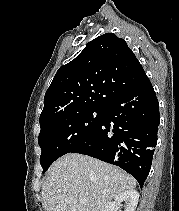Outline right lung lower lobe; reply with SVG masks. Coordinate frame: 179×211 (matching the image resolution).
Listing matches in <instances>:
<instances>
[{"instance_id":"obj_1","label":"right lung lower lobe","mask_w":179,"mask_h":211,"mask_svg":"<svg viewBox=\"0 0 179 211\" xmlns=\"http://www.w3.org/2000/svg\"><path fill=\"white\" fill-rule=\"evenodd\" d=\"M159 122V103L145 74L106 106L97 131L71 152L121 167L142 188L151 169Z\"/></svg>"}]
</instances>
